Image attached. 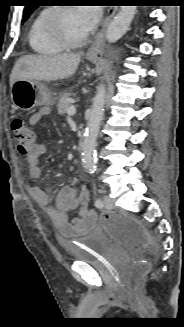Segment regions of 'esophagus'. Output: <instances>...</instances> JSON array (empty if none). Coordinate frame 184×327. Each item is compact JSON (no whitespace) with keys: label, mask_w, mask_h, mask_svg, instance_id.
<instances>
[{"label":"esophagus","mask_w":184,"mask_h":327,"mask_svg":"<svg viewBox=\"0 0 184 327\" xmlns=\"http://www.w3.org/2000/svg\"><path fill=\"white\" fill-rule=\"evenodd\" d=\"M117 11V8H110L108 10L107 16L103 22L102 28L99 31V33L96 35L94 42L90 46V48L87 51L88 56H101L103 53V47H104V37L105 32L107 29V26L111 22L112 18L114 17L115 13Z\"/></svg>","instance_id":"1"}]
</instances>
